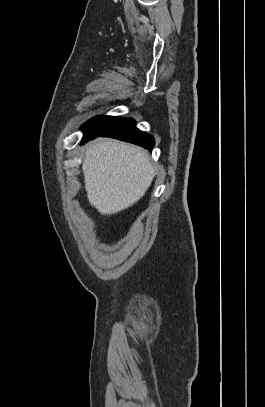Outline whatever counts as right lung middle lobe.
<instances>
[{
  "instance_id": "1",
  "label": "right lung middle lobe",
  "mask_w": 265,
  "mask_h": 407,
  "mask_svg": "<svg viewBox=\"0 0 265 407\" xmlns=\"http://www.w3.org/2000/svg\"><path fill=\"white\" fill-rule=\"evenodd\" d=\"M125 118L120 117H113V116H103V117H96L86 123L84 125V137L94 136L100 133L105 132L106 130L110 129L111 127L118 124Z\"/></svg>"
}]
</instances>
